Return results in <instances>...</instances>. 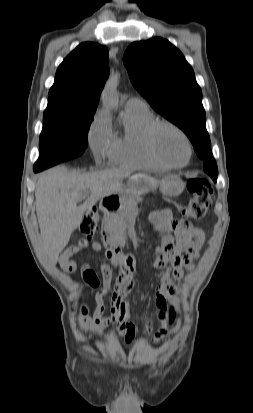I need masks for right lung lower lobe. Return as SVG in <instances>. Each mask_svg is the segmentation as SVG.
<instances>
[{"mask_svg":"<svg viewBox=\"0 0 253 413\" xmlns=\"http://www.w3.org/2000/svg\"><path fill=\"white\" fill-rule=\"evenodd\" d=\"M39 171H41V170H36V169H34V172H39Z\"/></svg>","mask_w":253,"mask_h":413,"instance_id":"1","label":"right lung lower lobe"}]
</instances>
